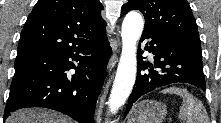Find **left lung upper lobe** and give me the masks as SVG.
Segmentation results:
<instances>
[{
  "label": "left lung upper lobe",
  "instance_id": "left-lung-upper-lobe-1",
  "mask_svg": "<svg viewBox=\"0 0 221 123\" xmlns=\"http://www.w3.org/2000/svg\"><path fill=\"white\" fill-rule=\"evenodd\" d=\"M139 10L145 17L144 30L175 42L201 48L196 21L186 0H128L122 13Z\"/></svg>",
  "mask_w": 221,
  "mask_h": 123
}]
</instances>
